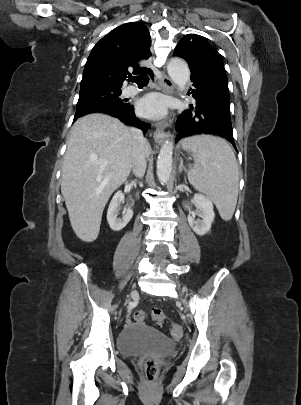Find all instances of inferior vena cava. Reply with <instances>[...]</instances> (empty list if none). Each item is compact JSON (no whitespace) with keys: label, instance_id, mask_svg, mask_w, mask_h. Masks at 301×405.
<instances>
[{"label":"inferior vena cava","instance_id":"inferior-vena-cava-1","mask_svg":"<svg viewBox=\"0 0 301 405\" xmlns=\"http://www.w3.org/2000/svg\"><path fill=\"white\" fill-rule=\"evenodd\" d=\"M131 132L134 139L132 150V170L136 177L142 178L147 166L145 154L147 140L144 138L141 130L132 129Z\"/></svg>","mask_w":301,"mask_h":405}]
</instances>
